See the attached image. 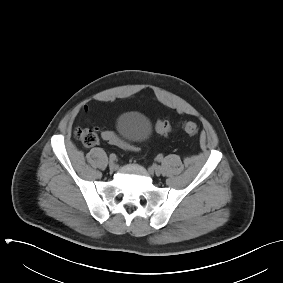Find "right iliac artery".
<instances>
[{
	"instance_id": "obj_1",
	"label": "right iliac artery",
	"mask_w": 283,
	"mask_h": 283,
	"mask_svg": "<svg viewBox=\"0 0 283 283\" xmlns=\"http://www.w3.org/2000/svg\"><path fill=\"white\" fill-rule=\"evenodd\" d=\"M116 160V155L115 154H110V161H115Z\"/></svg>"
}]
</instances>
